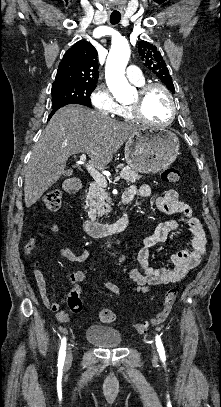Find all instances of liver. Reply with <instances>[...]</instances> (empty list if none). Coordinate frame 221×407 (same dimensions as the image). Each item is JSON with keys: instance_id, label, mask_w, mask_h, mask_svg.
<instances>
[{"instance_id": "1", "label": "liver", "mask_w": 221, "mask_h": 407, "mask_svg": "<svg viewBox=\"0 0 221 407\" xmlns=\"http://www.w3.org/2000/svg\"><path fill=\"white\" fill-rule=\"evenodd\" d=\"M139 129L79 105L59 109L34 145L25 168L26 207L35 204L59 180L70 156L86 153L93 164L104 167Z\"/></svg>"}]
</instances>
